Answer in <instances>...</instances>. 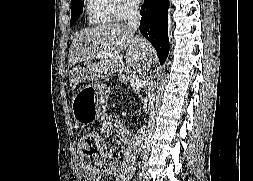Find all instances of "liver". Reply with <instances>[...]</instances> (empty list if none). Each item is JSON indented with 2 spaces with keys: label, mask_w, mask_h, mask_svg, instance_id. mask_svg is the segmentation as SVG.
Returning a JSON list of instances; mask_svg holds the SVG:
<instances>
[{
  "label": "liver",
  "mask_w": 253,
  "mask_h": 181,
  "mask_svg": "<svg viewBox=\"0 0 253 181\" xmlns=\"http://www.w3.org/2000/svg\"><path fill=\"white\" fill-rule=\"evenodd\" d=\"M140 41L146 47L144 54L139 49ZM124 50L127 67L143 78L147 64L154 60L155 51L146 39L136 36L130 26L105 23L80 31L74 36L69 50V66L73 67L69 75L70 87L74 89L85 80L99 81L114 74L122 63L110 58H98L97 55L102 52L120 54ZM94 59L99 61L93 63Z\"/></svg>",
  "instance_id": "obj_1"
}]
</instances>
